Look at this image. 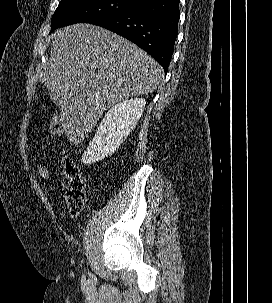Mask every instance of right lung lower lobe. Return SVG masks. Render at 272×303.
Masks as SVG:
<instances>
[{"label":"right lung lower lobe","instance_id":"obj_1","mask_svg":"<svg viewBox=\"0 0 272 303\" xmlns=\"http://www.w3.org/2000/svg\"><path fill=\"white\" fill-rule=\"evenodd\" d=\"M179 1L146 0L129 10L91 24L132 41L157 60L167 72L178 34Z\"/></svg>","mask_w":272,"mask_h":303}]
</instances>
